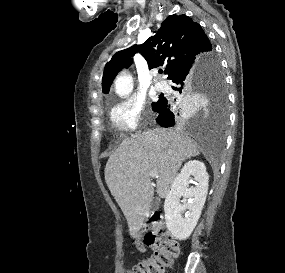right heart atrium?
<instances>
[{
  "label": "right heart atrium",
  "mask_w": 285,
  "mask_h": 273,
  "mask_svg": "<svg viewBox=\"0 0 285 273\" xmlns=\"http://www.w3.org/2000/svg\"><path fill=\"white\" fill-rule=\"evenodd\" d=\"M144 104L133 98L125 99L116 104L111 111V121L119 132L132 133L142 123Z\"/></svg>",
  "instance_id": "d8ad5b80"
}]
</instances>
